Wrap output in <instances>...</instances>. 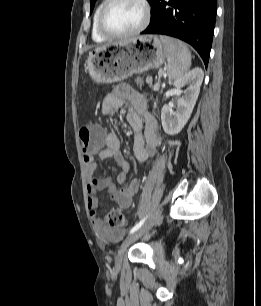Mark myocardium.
<instances>
[{
    "instance_id": "1",
    "label": "myocardium",
    "mask_w": 261,
    "mask_h": 306,
    "mask_svg": "<svg viewBox=\"0 0 261 306\" xmlns=\"http://www.w3.org/2000/svg\"><path fill=\"white\" fill-rule=\"evenodd\" d=\"M143 8L144 17L140 25L131 32L127 33H118L112 31L105 22L106 15L110 8L114 6L116 3L120 2V0H107L104 6L102 7L99 16H98V30L99 32L107 38L111 39H123L135 36L142 32L149 24L151 18V7L148 0H136Z\"/></svg>"
}]
</instances>
